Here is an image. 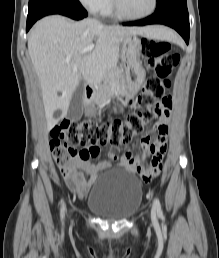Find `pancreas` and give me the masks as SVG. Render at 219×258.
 Masks as SVG:
<instances>
[{
    "label": "pancreas",
    "instance_id": "cf45deb5",
    "mask_svg": "<svg viewBox=\"0 0 219 258\" xmlns=\"http://www.w3.org/2000/svg\"><path fill=\"white\" fill-rule=\"evenodd\" d=\"M115 82L118 89L115 92L122 90L124 88V79L122 71L119 68H112L108 70V74L103 78V82L98 85L95 103L104 104L109 98L112 83Z\"/></svg>",
    "mask_w": 219,
    "mask_h": 258
}]
</instances>
